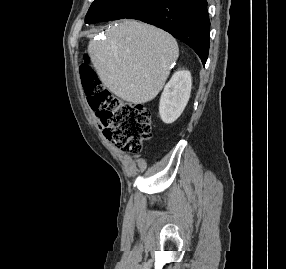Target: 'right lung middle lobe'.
Returning <instances> with one entry per match:
<instances>
[{
    "instance_id": "right-lung-middle-lobe-1",
    "label": "right lung middle lobe",
    "mask_w": 286,
    "mask_h": 269,
    "mask_svg": "<svg viewBox=\"0 0 286 269\" xmlns=\"http://www.w3.org/2000/svg\"><path fill=\"white\" fill-rule=\"evenodd\" d=\"M153 0H94L85 18V23L93 24L128 18Z\"/></svg>"
}]
</instances>
